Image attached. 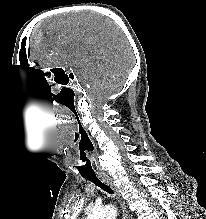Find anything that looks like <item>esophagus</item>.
<instances>
[{
    "label": "esophagus",
    "instance_id": "obj_1",
    "mask_svg": "<svg viewBox=\"0 0 206 219\" xmlns=\"http://www.w3.org/2000/svg\"><path fill=\"white\" fill-rule=\"evenodd\" d=\"M99 178L102 182H104L105 184H107L109 187L112 188V190L115 192L116 196H117V199L121 205V208H122V211H123V214L125 216V219H133L129 209H128V206L126 204V202L124 201V199L121 197V194L119 192V190L117 189V187L113 184L111 178L108 176V175H105V174H100L99 175Z\"/></svg>",
    "mask_w": 206,
    "mask_h": 219
}]
</instances>
